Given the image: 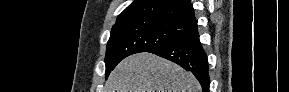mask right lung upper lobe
<instances>
[{
	"label": "right lung upper lobe",
	"mask_w": 289,
	"mask_h": 92,
	"mask_svg": "<svg viewBox=\"0 0 289 92\" xmlns=\"http://www.w3.org/2000/svg\"><path fill=\"white\" fill-rule=\"evenodd\" d=\"M150 18L191 26L196 22L189 0H135L117 18V22Z\"/></svg>",
	"instance_id": "right-lung-upper-lobe-1"
}]
</instances>
